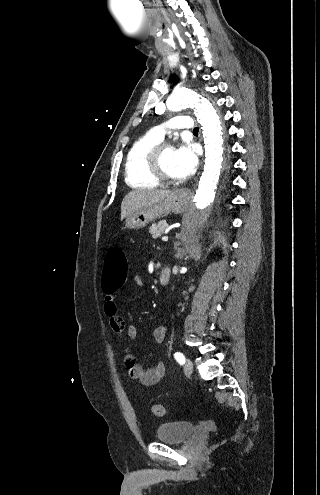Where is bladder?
<instances>
[{"label":"bladder","instance_id":"1","mask_svg":"<svg viewBox=\"0 0 320 495\" xmlns=\"http://www.w3.org/2000/svg\"><path fill=\"white\" fill-rule=\"evenodd\" d=\"M195 431V424L189 421L165 422L158 425L155 438L163 443H181Z\"/></svg>","mask_w":320,"mask_h":495}]
</instances>
